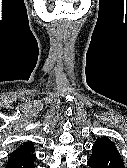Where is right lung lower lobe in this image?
Returning a JSON list of instances; mask_svg holds the SVG:
<instances>
[{"label":"right lung lower lobe","mask_w":127,"mask_h":168,"mask_svg":"<svg viewBox=\"0 0 127 168\" xmlns=\"http://www.w3.org/2000/svg\"><path fill=\"white\" fill-rule=\"evenodd\" d=\"M35 157L9 158L6 168H34Z\"/></svg>","instance_id":"obj_1"}]
</instances>
